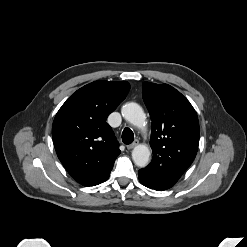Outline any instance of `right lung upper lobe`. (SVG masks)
<instances>
[{
	"instance_id": "right-lung-upper-lobe-1",
	"label": "right lung upper lobe",
	"mask_w": 247,
	"mask_h": 247,
	"mask_svg": "<svg viewBox=\"0 0 247 247\" xmlns=\"http://www.w3.org/2000/svg\"><path fill=\"white\" fill-rule=\"evenodd\" d=\"M129 89L126 81L92 82L68 98L55 116L52 138L56 153L67 172L83 186L107 180L121 152L106 119Z\"/></svg>"
}]
</instances>
